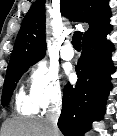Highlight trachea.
<instances>
[{"mask_svg":"<svg viewBox=\"0 0 117 136\" xmlns=\"http://www.w3.org/2000/svg\"><path fill=\"white\" fill-rule=\"evenodd\" d=\"M81 39H82V33L79 31H75L72 37V45L76 50L81 49Z\"/></svg>","mask_w":117,"mask_h":136,"instance_id":"1","label":"trachea"}]
</instances>
